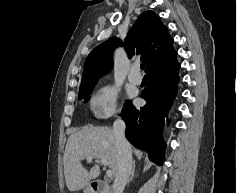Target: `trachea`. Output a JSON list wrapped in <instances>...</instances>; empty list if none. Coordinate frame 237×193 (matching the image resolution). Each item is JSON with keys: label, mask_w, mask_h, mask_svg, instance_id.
Instances as JSON below:
<instances>
[{"label": "trachea", "mask_w": 237, "mask_h": 193, "mask_svg": "<svg viewBox=\"0 0 237 193\" xmlns=\"http://www.w3.org/2000/svg\"><path fill=\"white\" fill-rule=\"evenodd\" d=\"M140 68H141L142 70H144V68H145V64L142 63V64L140 65Z\"/></svg>", "instance_id": "1"}]
</instances>
